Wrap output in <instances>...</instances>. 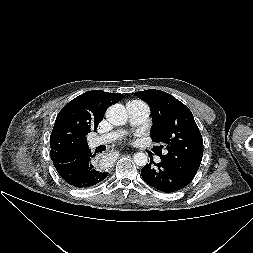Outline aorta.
<instances>
[{"instance_id":"1","label":"aorta","mask_w":253,"mask_h":253,"mask_svg":"<svg viewBox=\"0 0 253 253\" xmlns=\"http://www.w3.org/2000/svg\"><path fill=\"white\" fill-rule=\"evenodd\" d=\"M106 119L113 125L120 126L127 122V111L121 104H114L108 107L106 111ZM134 162L138 166H145L148 162V157L143 152L134 154Z\"/></svg>"}]
</instances>
